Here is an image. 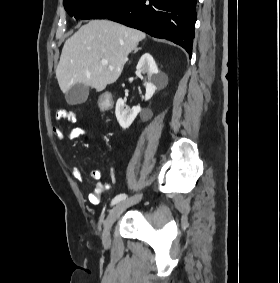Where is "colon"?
Returning <instances> with one entry per match:
<instances>
[{"label":"colon","mask_w":280,"mask_h":283,"mask_svg":"<svg viewBox=\"0 0 280 283\" xmlns=\"http://www.w3.org/2000/svg\"><path fill=\"white\" fill-rule=\"evenodd\" d=\"M112 103V97L110 95H103L99 101V112H111V107H106Z\"/></svg>","instance_id":"1"}]
</instances>
